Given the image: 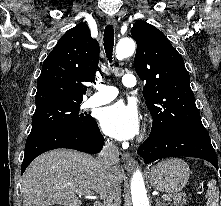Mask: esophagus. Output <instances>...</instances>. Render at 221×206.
Masks as SVG:
<instances>
[{"label":"esophagus","instance_id":"obj_1","mask_svg":"<svg viewBox=\"0 0 221 206\" xmlns=\"http://www.w3.org/2000/svg\"><path fill=\"white\" fill-rule=\"evenodd\" d=\"M107 22L112 25L117 24L116 19L113 16H108ZM122 163H123L124 168L127 170H131L136 166V161L128 153H124L122 155Z\"/></svg>","mask_w":221,"mask_h":206}]
</instances>
